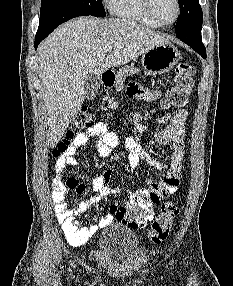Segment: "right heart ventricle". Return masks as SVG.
Returning <instances> with one entry per match:
<instances>
[{
    "mask_svg": "<svg viewBox=\"0 0 233 286\" xmlns=\"http://www.w3.org/2000/svg\"><path fill=\"white\" fill-rule=\"evenodd\" d=\"M106 4L115 17L157 27L145 14L141 0H106Z\"/></svg>",
    "mask_w": 233,
    "mask_h": 286,
    "instance_id": "e07e8e85",
    "label": "right heart ventricle"
}]
</instances>
